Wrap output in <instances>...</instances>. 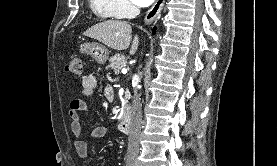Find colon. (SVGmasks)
Wrapping results in <instances>:
<instances>
[{"label": "colon", "mask_w": 277, "mask_h": 166, "mask_svg": "<svg viewBox=\"0 0 277 166\" xmlns=\"http://www.w3.org/2000/svg\"><path fill=\"white\" fill-rule=\"evenodd\" d=\"M66 69L69 73L79 76L83 72L82 59L80 56L74 55L70 58L66 65Z\"/></svg>", "instance_id": "5ec220e1"}]
</instances>
